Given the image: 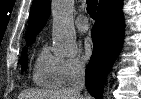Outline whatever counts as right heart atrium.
<instances>
[{
  "mask_svg": "<svg viewBox=\"0 0 141 99\" xmlns=\"http://www.w3.org/2000/svg\"><path fill=\"white\" fill-rule=\"evenodd\" d=\"M86 67V61L81 55L61 58V74L64 82L70 83L81 76Z\"/></svg>",
  "mask_w": 141,
  "mask_h": 99,
  "instance_id": "1",
  "label": "right heart atrium"
}]
</instances>
